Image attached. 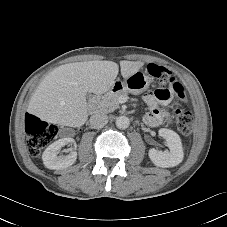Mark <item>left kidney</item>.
Returning a JSON list of instances; mask_svg holds the SVG:
<instances>
[{
	"label": "left kidney",
	"mask_w": 227,
	"mask_h": 227,
	"mask_svg": "<svg viewBox=\"0 0 227 227\" xmlns=\"http://www.w3.org/2000/svg\"><path fill=\"white\" fill-rule=\"evenodd\" d=\"M159 136L163 137L169 147V151L149 150V158L158 167L169 168L180 164L183 160L184 153L179 135L166 128H161Z\"/></svg>",
	"instance_id": "obj_1"
}]
</instances>
